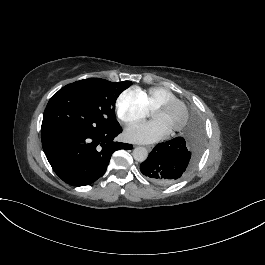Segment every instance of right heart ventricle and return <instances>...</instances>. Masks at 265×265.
Here are the masks:
<instances>
[{
  "instance_id": "right-heart-ventricle-1",
  "label": "right heart ventricle",
  "mask_w": 265,
  "mask_h": 265,
  "mask_svg": "<svg viewBox=\"0 0 265 265\" xmlns=\"http://www.w3.org/2000/svg\"><path fill=\"white\" fill-rule=\"evenodd\" d=\"M134 94L143 102L148 112L162 100L173 98L174 95L163 87H153L148 90L136 89Z\"/></svg>"
}]
</instances>
